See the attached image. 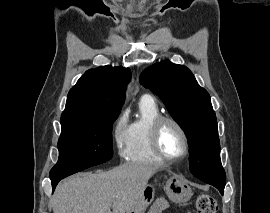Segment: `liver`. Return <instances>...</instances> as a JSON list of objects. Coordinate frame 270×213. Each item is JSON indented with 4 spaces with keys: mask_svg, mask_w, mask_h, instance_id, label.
Listing matches in <instances>:
<instances>
[{
    "mask_svg": "<svg viewBox=\"0 0 270 213\" xmlns=\"http://www.w3.org/2000/svg\"><path fill=\"white\" fill-rule=\"evenodd\" d=\"M159 169L126 163L106 172L73 176L57 186L53 213H126Z\"/></svg>",
    "mask_w": 270,
    "mask_h": 213,
    "instance_id": "6515ba94",
    "label": "liver"
}]
</instances>
